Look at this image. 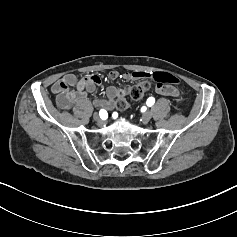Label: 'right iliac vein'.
I'll return each instance as SVG.
<instances>
[{
	"instance_id": "1",
	"label": "right iliac vein",
	"mask_w": 237,
	"mask_h": 237,
	"mask_svg": "<svg viewBox=\"0 0 237 237\" xmlns=\"http://www.w3.org/2000/svg\"><path fill=\"white\" fill-rule=\"evenodd\" d=\"M93 119L98 123V124H104L105 121L99 117L97 113L93 115Z\"/></svg>"
}]
</instances>
